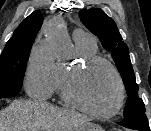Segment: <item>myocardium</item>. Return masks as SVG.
Here are the masks:
<instances>
[{
    "mask_svg": "<svg viewBox=\"0 0 151 131\" xmlns=\"http://www.w3.org/2000/svg\"><path fill=\"white\" fill-rule=\"evenodd\" d=\"M98 64H103L108 67V69L112 72L118 86V98L116 105L108 112H98L91 109L81 100L74 89L77 79L83 75L85 71ZM62 92L66 102L82 112L98 119H109L116 116L122 109L125 101V85L119 71L109 60L97 55L82 58L80 63L73 66L68 71L63 83Z\"/></svg>",
    "mask_w": 151,
    "mask_h": 131,
    "instance_id": "f54148a6",
    "label": "myocardium"
}]
</instances>
